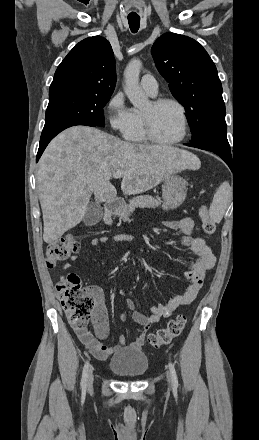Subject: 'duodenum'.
<instances>
[{"label":"duodenum","instance_id":"410a0bca","mask_svg":"<svg viewBox=\"0 0 259 440\" xmlns=\"http://www.w3.org/2000/svg\"><path fill=\"white\" fill-rule=\"evenodd\" d=\"M118 205H119V200H117V199H113V200L109 201L108 203H106V205L104 207L105 214L107 216L112 215L114 213V211L116 210V208L118 207Z\"/></svg>","mask_w":259,"mask_h":440}]
</instances>
